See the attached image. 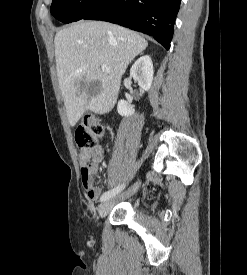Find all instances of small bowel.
<instances>
[{"label": "small bowel", "mask_w": 247, "mask_h": 275, "mask_svg": "<svg viewBox=\"0 0 247 275\" xmlns=\"http://www.w3.org/2000/svg\"><path fill=\"white\" fill-rule=\"evenodd\" d=\"M96 153L97 157L95 159L87 158L85 153L80 155L82 184L87 193V197L92 201L98 200L101 195V189L94 185L93 176L97 172L99 164L102 161L103 151L101 148H97ZM109 175L112 176L110 172Z\"/></svg>", "instance_id": "1"}]
</instances>
